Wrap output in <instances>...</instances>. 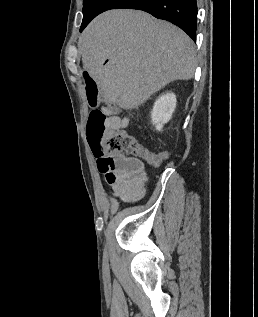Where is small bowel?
<instances>
[{
    "instance_id": "obj_1",
    "label": "small bowel",
    "mask_w": 258,
    "mask_h": 317,
    "mask_svg": "<svg viewBox=\"0 0 258 317\" xmlns=\"http://www.w3.org/2000/svg\"><path fill=\"white\" fill-rule=\"evenodd\" d=\"M109 115V126L114 130L126 128L132 121L130 115L105 109ZM97 167L103 174L105 184L113 197L121 202L140 199L146 191L147 174L144 163L134 157H115L104 153H94ZM164 157L166 152H162Z\"/></svg>"
}]
</instances>
